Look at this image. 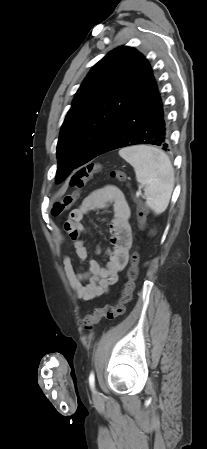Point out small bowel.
I'll return each mask as SVG.
<instances>
[{
    "label": "small bowel",
    "mask_w": 207,
    "mask_h": 449,
    "mask_svg": "<svg viewBox=\"0 0 207 449\" xmlns=\"http://www.w3.org/2000/svg\"><path fill=\"white\" fill-rule=\"evenodd\" d=\"M112 205L111 247L107 250L106 262L96 260L88 263V271L77 269L70 256L63 255L62 263L72 290L84 301L100 297L116 284L120 271L126 266L132 246L130 226L131 212L124 194L114 186L96 189L88 194L80 206L70 212L64 222V230L74 242L76 254L81 262L87 258V250L81 236L86 233L83 225L85 216L98 208ZM84 281L87 283L84 285Z\"/></svg>",
    "instance_id": "c3829d8e"
}]
</instances>
